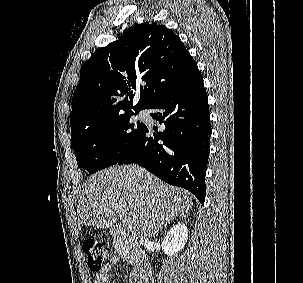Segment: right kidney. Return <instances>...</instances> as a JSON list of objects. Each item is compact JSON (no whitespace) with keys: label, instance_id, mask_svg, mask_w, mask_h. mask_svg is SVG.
Listing matches in <instances>:
<instances>
[{"label":"right kidney","instance_id":"1","mask_svg":"<svg viewBox=\"0 0 303 283\" xmlns=\"http://www.w3.org/2000/svg\"><path fill=\"white\" fill-rule=\"evenodd\" d=\"M188 230L184 223L173 226L162 242V250L170 257L182 250L187 242Z\"/></svg>","mask_w":303,"mask_h":283}]
</instances>
